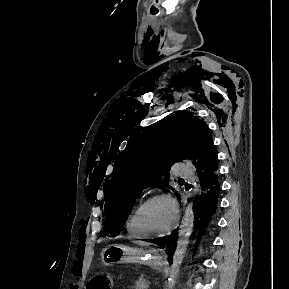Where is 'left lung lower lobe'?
<instances>
[{
	"label": "left lung lower lobe",
	"mask_w": 289,
	"mask_h": 289,
	"mask_svg": "<svg viewBox=\"0 0 289 289\" xmlns=\"http://www.w3.org/2000/svg\"><path fill=\"white\" fill-rule=\"evenodd\" d=\"M197 175L200 181V192L194 201V224L198 226V237L194 251L204 232L208 230L213 223L214 213L217 208L220 184L218 177V157L216 148L212 149L205 161L198 167ZM178 233H173L166 237L152 240L154 243L166 244L169 257L172 258L176 247Z\"/></svg>",
	"instance_id": "left-lung-lower-lobe-1"
}]
</instances>
